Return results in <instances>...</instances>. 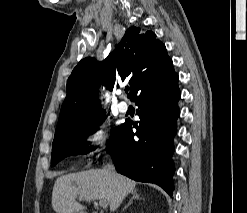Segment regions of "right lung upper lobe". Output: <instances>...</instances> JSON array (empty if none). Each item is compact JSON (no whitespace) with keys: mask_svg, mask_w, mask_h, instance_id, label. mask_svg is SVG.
Instances as JSON below:
<instances>
[{"mask_svg":"<svg viewBox=\"0 0 247 213\" xmlns=\"http://www.w3.org/2000/svg\"><path fill=\"white\" fill-rule=\"evenodd\" d=\"M173 66L165 45L155 33L129 28L116 49L103 62L85 58L78 63L67 81V96L62 104L55 134L84 125L102 113L98 87L112 90L116 79L129 78L132 98L142 86Z\"/></svg>","mask_w":247,"mask_h":213,"instance_id":"1","label":"right lung upper lobe"}]
</instances>
